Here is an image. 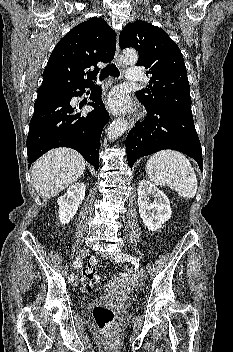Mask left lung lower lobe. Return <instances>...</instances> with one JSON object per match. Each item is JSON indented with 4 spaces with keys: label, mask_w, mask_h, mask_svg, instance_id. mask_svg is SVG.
<instances>
[{
    "label": "left lung lower lobe",
    "mask_w": 233,
    "mask_h": 352,
    "mask_svg": "<svg viewBox=\"0 0 233 352\" xmlns=\"http://www.w3.org/2000/svg\"><path fill=\"white\" fill-rule=\"evenodd\" d=\"M146 110L148 117L137 122L126 138L129 166L132 168L140 157L172 149L193 158L203 169L202 149L193 116L158 105L146 107Z\"/></svg>",
    "instance_id": "0a47b994"
}]
</instances>
